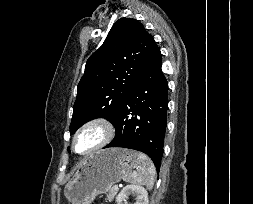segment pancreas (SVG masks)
I'll list each match as a JSON object with an SVG mask.
<instances>
[{
	"label": "pancreas",
	"instance_id": "pancreas-1",
	"mask_svg": "<svg viewBox=\"0 0 253 204\" xmlns=\"http://www.w3.org/2000/svg\"><path fill=\"white\" fill-rule=\"evenodd\" d=\"M118 189H115L114 186H112L107 193V200L108 201H112V199L115 197V195L117 194Z\"/></svg>",
	"mask_w": 253,
	"mask_h": 204
}]
</instances>
